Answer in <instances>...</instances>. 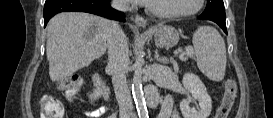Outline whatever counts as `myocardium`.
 I'll use <instances>...</instances> for the list:
<instances>
[{"label": "myocardium", "instance_id": "f54148a6", "mask_svg": "<svg viewBox=\"0 0 273 118\" xmlns=\"http://www.w3.org/2000/svg\"><path fill=\"white\" fill-rule=\"evenodd\" d=\"M204 5V0H196L195 6L184 12H160L157 11L156 9L153 8V6L148 3L146 4V9L147 11L152 14L153 16L162 18V19H176V18H182V17H187L196 14L199 12Z\"/></svg>", "mask_w": 273, "mask_h": 118}]
</instances>
